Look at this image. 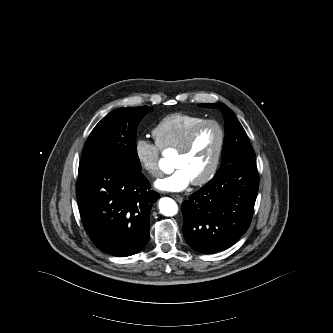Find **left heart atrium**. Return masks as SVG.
Wrapping results in <instances>:
<instances>
[{"instance_id": "obj_1", "label": "left heart atrium", "mask_w": 333, "mask_h": 333, "mask_svg": "<svg viewBox=\"0 0 333 333\" xmlns=\"http://www.w3.org/2000/svg\"><path fill=\"white\" fill-rule=\"evenodd\" d=\"M192 180L183 168H176L171 174L158 179L155 187L164 192H180L186 189Z\"/></svg>"}]
</instances>
